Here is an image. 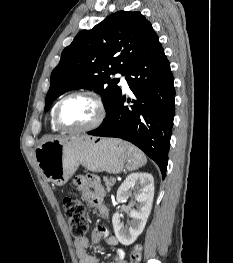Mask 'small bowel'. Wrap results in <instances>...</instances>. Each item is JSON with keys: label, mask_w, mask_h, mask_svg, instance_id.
<instances>
[{"label": "small bowel", "mask_w": 233, "mask_h": 263, "mask_svg": "<svg viewBox=\"0 0 233 263\" xmlns=\"http://www.w3.org/2000/svg\"><path fill=\"white\" fill-rule=\"evenodd\" d=\"M75 185L89 205L95 207L102 217L108 216V210L103 204L105 189L97 176H79L75 179ZM102 240L108 245L115 247V258L110 263H127L124 250L117 247L118 239L109 235L108 230L102 226L93 230L91 239L84 237L75 240V251L79 263H100L97 257L88 253V249L91 244H98Z\"/></svg>", "instance_id": "1"}]
</instances>
